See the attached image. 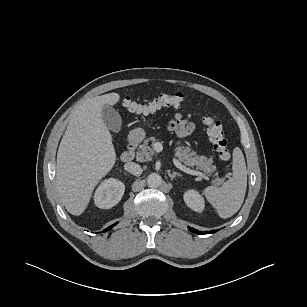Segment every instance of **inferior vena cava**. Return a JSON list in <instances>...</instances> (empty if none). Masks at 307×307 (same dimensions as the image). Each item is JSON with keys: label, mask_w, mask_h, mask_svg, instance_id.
<instances>
[{"label": "inferior vena cava", "mask_w": 307, "mask_h": 307, "mask_svg": "<svg viewBox=\"0 0 307 307\" xmlns=\"http://www.w3.org/2000/svg\"><path fill=\"white\" fill-rule=\"evenodd\" d=\"M124 169L128 171L129 173L135 175V176H140L142 174V168L139 164L134 163V162H128L124 165Z\"/></svg>", "instance_id": "1"}]
</instances>
